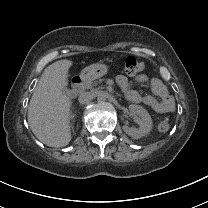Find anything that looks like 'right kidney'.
Here are the masks:
<instances>
[{"instance_id": "right-kidney-1", "label": "right kidney", "mask_w": 208, "mask_h": 208, "mask_svg": "<svg viewBox=\"0 0 208 208\" xmlns=\"http://www.w3.org/2000/svg\"><path fill=\"white\" fill-rule=\"evenodd\" d=\"M74 116H75L74 114H70V115H69V118H70V119H74Z\"/></svg>"}]
</instances>
